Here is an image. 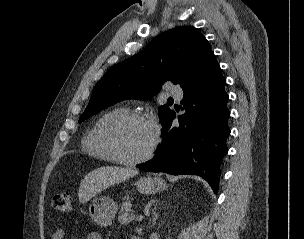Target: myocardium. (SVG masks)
<instances>
[{
  "label": "myocardium",
  "instance_id": "1",
  "mask_svg": "<svg viewBox=\"0 0 304 239\" xmlns=\"http://www.w3.org/2000/svg\"><path fill=\"white\" fill-rule=\"evenodd\" d=\"M131 121H140L151 124L149 118L144 114L139 112L126 111L110 119L102 128L100 135L101 141L104 147L112 156L113 161L123 165H137L146 162L153 156L159 143V135L157 131L154 130L152 143L148 148V150L143 155L135 158H125L122 155H120L114 142V132L121 125Z\"/></svg>",
  "mask_w": 304,
  "mask_h": 239
}]
</instances>
